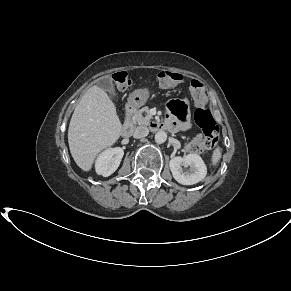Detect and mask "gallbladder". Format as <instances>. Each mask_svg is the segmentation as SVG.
Wrapping results in <instances>:
<instances>
[{
    "mask_svg": "<svg viewBox=\"0 0 291 291\" xmlns=\"http://www.w3.org/2000/svg\"><path fill=\"white\" fill-rule=\"evenodd\" d=\"M97 85H98V87L109 92L110 94H112L114 96L116 95L114 84H113V81H112L110 76H106V77L101 78L98 81Z\"/></svg>",
    "mask_w": 291,
    "mask_h": 291,
    "instance_id": "gallbladder-1",
    "label": "gallbladder"
}]
</instances>
